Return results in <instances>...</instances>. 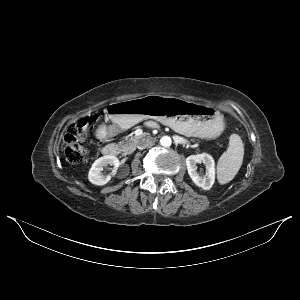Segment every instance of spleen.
Segmentation results:
<instances>
[{
    "label": "spleen",
    "instance_id": "obj_1",
    "mask_svg": "<svg viewBox=\"0 0 300 300\" xmlns=\"http://www.w3.org/2000/svg\"><path fill=\"white\" fill-rule=\"evenodd\" d=\"M244 156V145L239 135L231 134L229 147L221 155L217 163V180L223 185L237 175Z\"/></svg>",
    "mask_w": 300,
    "mask_h": 300
}]
</instances>
